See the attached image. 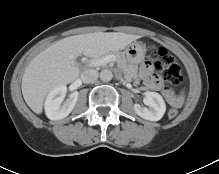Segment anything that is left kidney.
Segmentation results:
<instances>
[{
  "label": "left kidney",
  "mask_w": 219,
  "mask_h": 174,
  "mask_svg": "<svg viewBox=\"0 0 219 174\" xmlns=\"http://www.w3.org/2000/svg\"><path fill=\"white\" fill-rule=\"evenodd\" d=\"M144 95L143 102L149 108L134 104L136 114L149 121L160 120L166 111V105L162 96L159 93L151 91L145 92Z\"/></svg>",
  "instance_id": "5707ae66"
}]
</instances>
